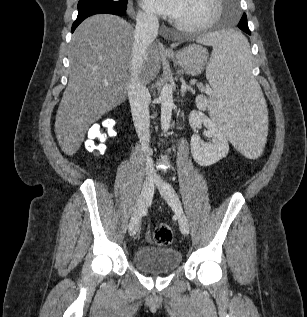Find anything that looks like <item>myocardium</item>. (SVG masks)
<instances>
[{"label": "myocardium", "instance_id": "1", "mask_svg": "<svg viewBox=\"0 0 307 317\" xmlns=\"http://www.w3.org/2000/svg\"><path fill=\"white\" fill-rule=\"evenodd\" d=\"M211 2L214 5V12L207 21L199 24L188 25L179 23L175 20L173 24L176 28L186 33H200L211 28L218 21L222 12L221 0H212Z\"/></svg>", "mask_w": 307, "mask_h": 317}]
</instances>
